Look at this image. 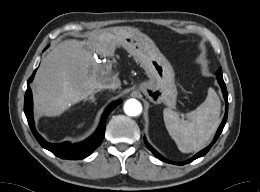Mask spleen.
I'll return each mask as SVG.
<instances>
[{
  "label": "spleen",
  "instance_id": "3e777b00",
  "mask_svg": "<svg viewBox=\"0 0 260 192\" xmlns=\"http://www.w3.org/2000/svg\"><path fill=\"white\" fill-rule=\"evenodd\" d=\"M220 109L217 93L209 88L205 101L187 113L188 120L181 119L170 108L163 110L166 129L181 152H195L208 143L220 124Z\"/></svg>",
  "mask_w": 260,
  "mask_h": 192
}]
</instances>
